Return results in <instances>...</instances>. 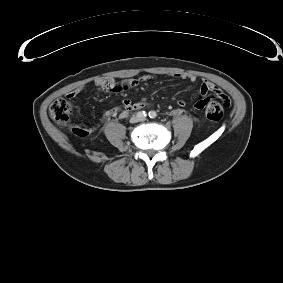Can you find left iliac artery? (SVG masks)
<instances>
[{
  "mask_svg": "<svg viewBox=\"0 0 283 283\" xmlns=\"http://www.w3.org/2000/svg\"><path fill=\"white\" fill-rule=\"evenodd\" d=\"M156 116H157V113H156L155 111H150V112H149V117H150L151 119L156 118Z\"/></svg>",
  "mask_w": 283,
  "mask_h": 283,
  "instance_id": "obj_1",
  "label": "left iliac artery"
}]
</instances>
